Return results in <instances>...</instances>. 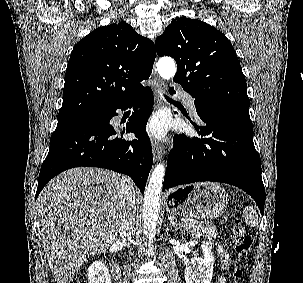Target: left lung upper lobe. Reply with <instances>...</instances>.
<instances>
[{
	"mask_svg": "<svg viewBox=\"0 0 303 283\" xmlns=\"http://www.w3.org/2000/svg\"><path fill=\"white\" fill-rule=\"evenodd\" d=\"M155 47L159 56L175 59L173 81L196 100L249 108L246 80L234 48L211 25L186 17L174 19Z\"/></svg>",
	"mask_w": 303,
	"mask_h": 283,
	"instance_id": "1",
	"label": "left lung upper lobe"
}]
</instances>
